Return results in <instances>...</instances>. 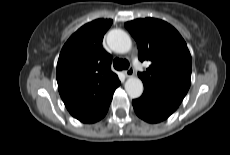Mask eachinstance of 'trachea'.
<instances>
[{"mask_svg": "<svg viewBox=\"0 0 230 155\" xmlns=\"http://www.w3.org/2000/svg\"><path fill=\"white\" fill-rule=\"evenodd\" d=\"M113 66L116 70H126L129 68V62L126 59L115 58Z\"/></svg>", "mask_w": 230, "mask_h": 155, "instance_id": "trachea-1", "label": "trachea"}]
</instances>
